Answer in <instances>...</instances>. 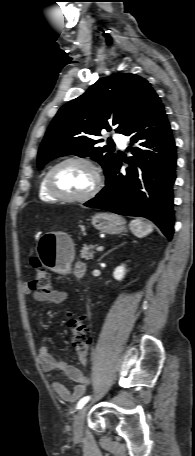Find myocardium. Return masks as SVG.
Masks as SVG:
<instances>
[{
  "label": "myocardium",
  "mask_w": 195,
  "mask_h": 456,
  "mask_svg": "<svg viewBox=\"0 0 195 456\" xmlns=\"http://www.w3.org/2000/svg\"><path fill=\"white\" fill-rule=\"evenodd\" d=\"M68 163H81L86 165L87 167L90 168V170L93 173L94 176V182L92 188L85 193L84 195L81 196H69L61 193L54 185L53 178L55 172L63 165L68 164ZM101 174L99 172V169L97 166L88 158L85 157H68L60 162L56 163L54 166H52L45 178V186L48 191V193L53 196L55 199L63 201V202H69V203H84L89 200H91L93 197L96 196V194L99 192L100 187H101Z\"/></svg>",
  "instance_id": "obj_1"
}]
</instances>
